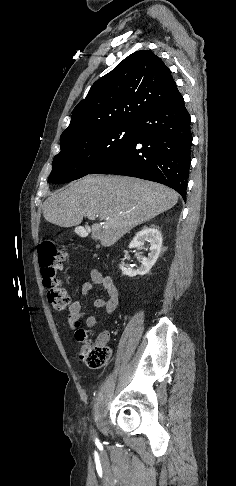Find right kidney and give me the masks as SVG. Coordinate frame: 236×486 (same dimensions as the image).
<instances>
[{
    "label": "right kidney",
    "mask_w": 236,
    "mask_h": 486,
    "mask_svg": "<svg viewBox=\"0 0 236 486\" xmlns=\"http://www.w3.org/2000/svg\"><path fill=\"white\" fill-rule=\"evenodd\" d=\"M146 241L150 243V252L148 257L141 258V265L136 271L127 270L120 265V269L124 275H128L130 277H134L136 275L143 276L147 274L156 263L162 246V235L158 229L154 227L143 229L133 238L129 244V248H140Z\"/></svg>",
    "instance_id": "ca27d5eb"
}]
</instances>
